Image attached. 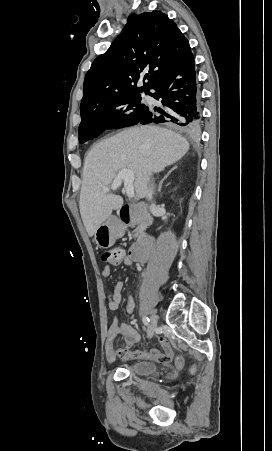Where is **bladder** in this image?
<instances>
[{
	"label": "bladder",
	"instance_id": "1",
	"mask_svg": "<svg viewBox=\"0 0 272 451\" xmlns=\"http://www.w3.org/2000/svg\"><path fill=\"white\" fill-rule=\"evenodd\" d=\"M132 376H149L156 372L157 365L151 360L136 361L133 360L128 365Z\"/></svg>",
	"mask_w": 272,
	"mask_h": 451
}]
</instances>
